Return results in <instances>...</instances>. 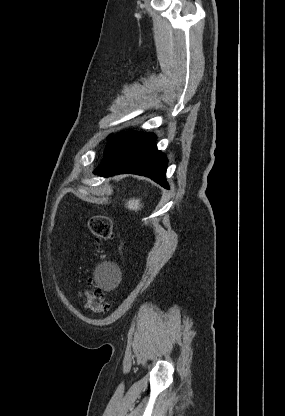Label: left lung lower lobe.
<instances>
[{"label":"left lung lower lobe","mask_w":285,"mask_h":416,"mask_svg":"<svg viewBox=\"0 0 285 416\" xmlns=\"http://www.w3.org/2000/svg\"><path fill=\"white\" fill-rule=\"evenodd\" d=\"M156 136L151 133H118L106 145L104 158L94 174L111 176L121 173H133L151 178L165 188L166 156L157 150Z\"/></svg>","instance_id":"0a47b994"}]
</instances>
